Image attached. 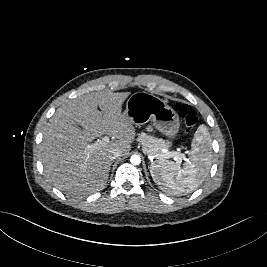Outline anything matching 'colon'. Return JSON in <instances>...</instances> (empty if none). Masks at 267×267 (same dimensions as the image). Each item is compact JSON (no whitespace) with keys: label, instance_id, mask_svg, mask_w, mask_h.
Here are the masks:
<instances>
[{"label":"colon","instance_id":"obj_1","mask_svg":"<svg viewBox=\"0 0 267 267\" xmlns=\"http://www.w3.org/2000/svg\"><path fill=\"white\" fill-rule=\"evenodd\" d=\"M174 109L182 118L186 131L190 132L198 122V116L196 111L192 109L189 105L180 103L175 104Z\"/></svg>","mask_w":267,"mask_h":267}]
</instances>
